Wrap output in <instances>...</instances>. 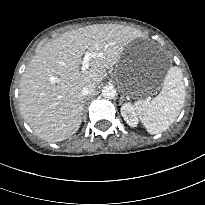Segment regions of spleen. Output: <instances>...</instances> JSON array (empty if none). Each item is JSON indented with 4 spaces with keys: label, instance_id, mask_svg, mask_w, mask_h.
<instances>
[{
    "label": "spleen",
    "instance_id": "1",
    "mask_svg": "<svg viewBox=\"0 0 205 205\" xmlns=\"http://www.w3.org/2000/svg\"><path fill=\"white\" fill-rule=\"evenodd\" d=\"M185 86L180 68L171 67L162 90L153 99L135 102L137 114L148 133L155 135L169 128L178 117L185 102Z\"/></svg>",
    "mask_w": 205,
    "mask_h": 205
}]
</instances>
